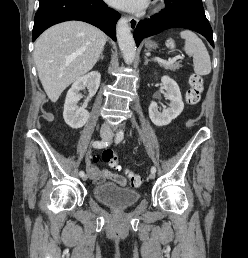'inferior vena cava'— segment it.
<instances>
[{
	"label": "inferior vena cava",
	"instance_id": "obj_1",
	"mask_svg": "<svg viewBox=\"0 0 248 258\" xmlns=\"http://www.w3.org/2000/svg\"><path fill=\"white\" fill-rule=\"evenodd\" d=\"M102 134H112L111 127L108 123H104L101 127Z\"/></svg>",
	"mask_w": 248,
	"mask_h": 258
}]
</instances>
